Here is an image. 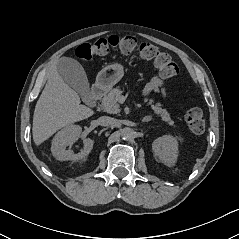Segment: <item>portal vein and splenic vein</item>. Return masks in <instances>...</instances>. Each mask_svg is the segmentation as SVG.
<instances>
[{
	"mask_svg": "<svg viewBox=\"0 0 239 239\" xmlns=\"http://www.w3.org/2000/svg\"><path fill=\"white\" fill-rule=\"evenodd\" d=\"M120 100L123 102L124 101V97H120Z\"/></svg>",
	"mask_w": 239,
	"mask_h": 239,
	"instance_id": "1",
	"label": "portal vein and splenic vein"
}]
</instances>
